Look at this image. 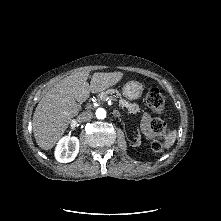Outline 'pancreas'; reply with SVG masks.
Returning <instances> with one entry per match:
<instances>
[{
  "label": "pancreas",
  "instance_id": "cf45deb5",
  "mask_svg": "<svg viewBox=\"0 0 221 221\" xmlns=\"http://www.w3.org/2000/svg\"><path fill=\"white\" fill-rule=\"evenodd\" d=\"M112 94H116V97L119 98V104L122 107L127 108L128 113H139L140 112V108L139 105L136 103H130L129 101L125 100L124 98H122L121 94L114 89H108L104 92L100 93V99H107L108 95H112Z\"/></svg>",
  "mask_w": 221,
  "mask_h": 221
}]
</instances>
